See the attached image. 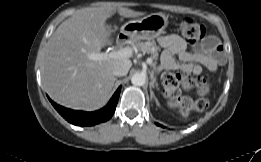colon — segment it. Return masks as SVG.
Listing matches in <instances>:
<instances>
[{
	"label": "colon",
	"mask_w": 261,
	"mask_h": 162,
	"mask_svg": "<svg viewBox=\"0 0 261 162\" xmlns=\"http://www.w3.org/2000/svg\"><path fill=\"white\" fill-rule=\"evenodd\" d=\"M178 28L183 38L191 43L197 42L205 37V27L192 18H183L178 22ZM210 76H191L178 73H165L162 77L164 94L166 97L176 102L180 108L187 112L191 109L203 111L208 107L205 95L212 84ZM195 92L197 97L182 96V93Z\"/></svg>",
	"instance_id": "colon-1"
}]
</instances>
